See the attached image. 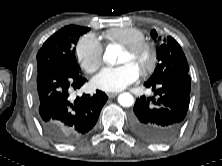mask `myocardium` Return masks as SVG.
I'll use <instances>...</instances> for the list:
<instances>
[{"instance_id":"f54148a6","label":"myocardium","mask_w":222,"mask_h":166,"mask_svg":"<svg viewBox=\"0 0 222 166\" xmlns=\"http://www.w3.org/2000/svg\"><path fill=\"white\" fill-rule=\"evenodd\" d=\"M125 51L132 56H137L140 54H145L147 56L145 65L140 69L142 74H147L154 69L157 55L155 48L150 43L143 41L125 46Z\"/></svg>"}]
</instances>
